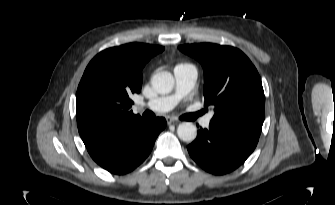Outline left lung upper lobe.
<instances>
[{"instance_id":"obj_1","label":"left lung upper lobe","mask_w":335,"mask_h":205,"mask_svg":"<svg viewBox=\"0 0 335 205\" xmlns=\"http://www.w3.org/2000/svg\"><path fill=\"white\" fill-rule=\"evenodd\" d=\"M204 70L205 107H214L212 121L260 136L265 118L261 78L239 49L212 43L181 45Z\"/></svg>"}]
</instances>
